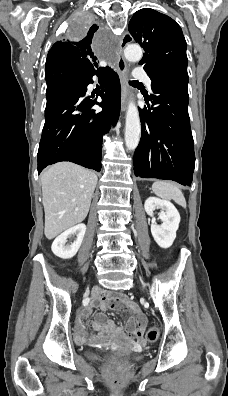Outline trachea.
Returning <instances> with one entry per match:
<instances>
[{
    "label": "trachea",
    "instance_id": "3493384b",
    "mask_svg": "<svg viewBox=\"0 0 228 396\" xmlns=\"http://www.w3.org/2000/svg\"><path fill=\"white\" fill-rule=\"evenodd\" d=\"M138 81H130V84H134L137 83Z\"/></svg>",
    "mask_w": 228,
    "mask_h": 396
}]
</instances>
